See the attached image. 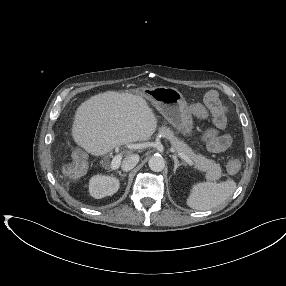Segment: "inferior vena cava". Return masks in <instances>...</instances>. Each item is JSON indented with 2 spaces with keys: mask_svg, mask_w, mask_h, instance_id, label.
Wrapping results in <instances>:
<instances>
[{
  "mask_svg": "<svg viewBox=\"0 0 286 286\" xmlns=\"http://www.w3.org/2000/svg\"><path fill=\"white\" fill-rule=\"evenodd\" d=\"M139 162V155L137 154H132V155H127L121 164V168L123 171H130L132 170Z\"/></svg>",
  "mask_w": 286,
  "mask_h": 286,
  "instance_id": "obj_1",
  "label": "inferior vena cava"
}]
</instances>
